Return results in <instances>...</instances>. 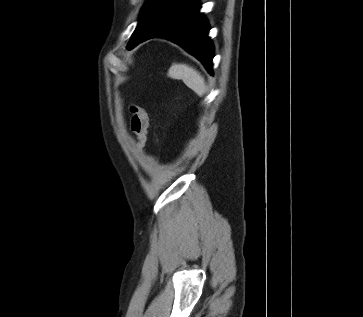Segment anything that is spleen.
Wrapping results in <instances>:
<instances>
[{
  "mask_svg": "<svg viewBox=\"0 0 363 317\" xmlns=\"http://www.w3.org/2000/svg\"><path fill=\"white\" fill-rule=\"evenodd\" d=\"M169 76L182 80L187 87L192 89L197 95L203 96L206 85L204 78L198 71L186 64L174 63L169 69Z\"/></svg>",
  "mask_w": 363,
  "mask_h": 317,
  "instance_id": "1",
  "label": "spleen"
}]
</instances>
